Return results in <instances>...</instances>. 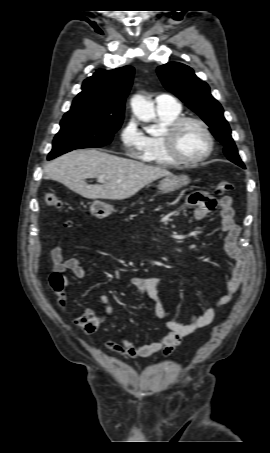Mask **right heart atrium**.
<instances>
[{
    "label": "right heart atrium",
    "mask_w": 270,
    "mask_h": 453,
    "mask_svg": "<svg viewBox=\"0 0 270 453\" xmlns=\"http://www.w3.org/2000/svg\"><path fill=\"white\" fill-rule=\"evenodd\" d=\"M147 136L134 118H129L120 132V140L126 155L139 157L146 145Z\"/></svg>",
    "instance_id": "d8ad5b80"
}]
</instances>
